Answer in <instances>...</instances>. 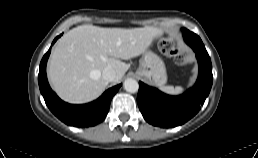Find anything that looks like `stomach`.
Wrapping results in <instances>:
<instances>
[{"label":"stomach","instance_id":"0dacf381","mask_svg":"<svg viewBox=\"0 0 258 158\" xmlns=\"http://www.w3.org/2000/svg\"><path fill=\"white\" fill-rule=\"evenodd\" d=\"M136 74L157 86H163L167 81L164 62L150 50L143 53Z\"/></svg>","mask_w":258,"mask_h":158}]
</instances>
